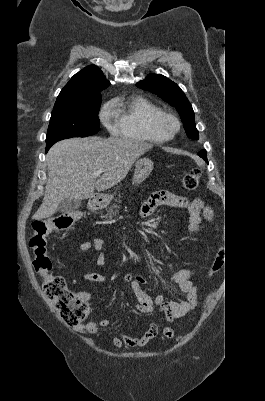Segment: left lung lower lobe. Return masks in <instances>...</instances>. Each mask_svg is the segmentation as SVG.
I'll use <instances>...</instances> for the list:
<instances>
[{
    "label": "left lung lower lobe",
    "mask_w": 265,
    "mask_h": 401,
    "mask_svg": "<svg viewBox=\"0 0 265 401\" xmlns=\"http://www.w3.org/2000/svg\"><path fill=\"white\" fill-rule=\"evenodd\" d=\"M206 155L207 153L205 150L199 153V156L202 157L205 161H207Z\"/></svg>",
    "instance_id": "1"
}]
</instances>
